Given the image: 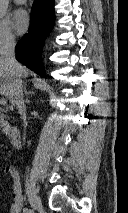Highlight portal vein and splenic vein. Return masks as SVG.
<instances>
[{"mask_svg": "<svg viewBox=\"0 0 128 213\" xmlns=\"http://www.w3.org/2000/svg\"><path fill=\"white\" fill-rule=\"evenodd\" d=\"M7 101L6 99L0 98V105H6Z\"/></svg>", "mask_w": 128, "mask_h": 213, "instance_id": "obj_1", "label": "portal vein and splenic vein"}]
</instances>
